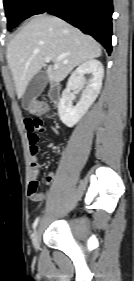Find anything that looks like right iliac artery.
<instances>
[{"instance_id":"obj_1","label":"right iliac artery","mask_w":134,"mask_h":281,"mask_svg":"<svg viewBox=\"0 0 134 281\" xmlns=\"http://www.w3.org/2000/svg\"><path fill=\"white\" fill-rule=\"evenodd\" d=\"M38 220H39V218L37 217L36 218V220L34 221V223H33V229H35L36 228V226H37V224H38Z\"/></svg>"}]
</instances>
